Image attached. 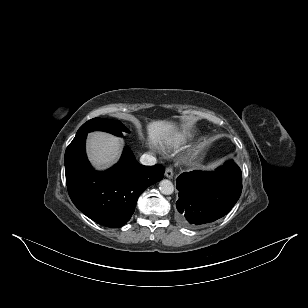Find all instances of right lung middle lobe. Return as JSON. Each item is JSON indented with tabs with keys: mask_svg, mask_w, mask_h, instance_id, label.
Listing matches in <instances>:
<instances>
[{
	"mask_svg": "<svg viewBox=\"0 0 308 308\" xmlns=\"http://www.w3.org/2000/svg\"><path fill=\"white\" fill-rule=\"evenodd\" d=\"M94 130L109 132L116 136H122V132H129V130L118 120L94 118L84 123L79 128L76 135L88 133Z\"/></svg>",
	"mask_w": 308,
	"mask_h": 308,
	"instance_id": "1",
	"label": "right lung middle lobe"
}]
</instances>
